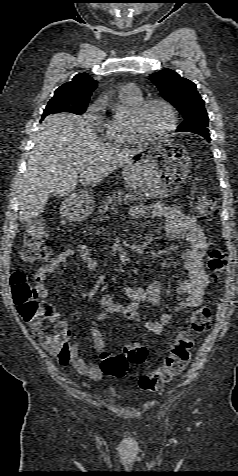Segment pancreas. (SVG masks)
Instances as JSON below:
<instances>
[{
    "label": "pancreas",
    "mask_w": 238,
    "mask_h": 476,
    "mask_svg": "<svg viewBox=\"0 0 238 476\" xmlns=\"http://www.w3.org/2000/svg\"><path fill=\"white\" fill-rule=\"evenodd\" d=\"M142 200V197L138 196L136 193H113L108 196L105 201L101 203V206L98 209V215H104L107 212L113 213L117 204H130L133 201Z\"/></svg>",
    "instance_id": "1"
}]
</instances>
